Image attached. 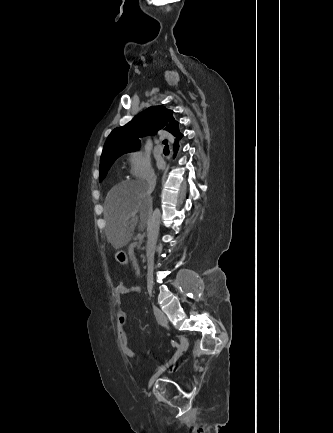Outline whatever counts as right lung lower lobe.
Masks as SVG:
<instances>
[{"instance_id":"obj_1","label":"right lung lower lobe","mask_w":333,"mask_h":433,"mask_svg":"<svg viewBox=\"0 0 333 433\" xmlns=\"http://www.w3.org/2000/svg\"><path fill=\"white\" fill-rule=\"evenodd\" d=\"M178 149H179V145L174 146V157L176 156Z\"/></svg>"}]
</instances>
